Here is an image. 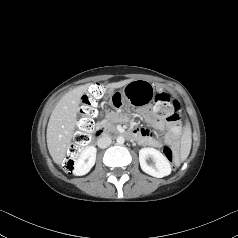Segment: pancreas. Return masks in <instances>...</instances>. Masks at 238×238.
<instances>
[{
    "instance_id": "obj_1",
    "label": "pancreas",
    "mask_w": 238,
    "mask_h": 238,
    "mask_svg": "<svg viewBox=\"0 0 238 238\" xmlns=\"http://www.w3.org/2000/svg\"><path fill=\"white\" fill-rule=\"evenodd\" d=\"M101 124L103 127H106V128L112 127L111 122H109L108 120H103Z\"/></svg>"
}]
</instances>
